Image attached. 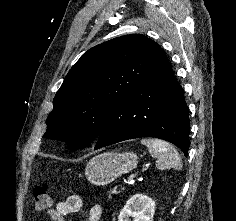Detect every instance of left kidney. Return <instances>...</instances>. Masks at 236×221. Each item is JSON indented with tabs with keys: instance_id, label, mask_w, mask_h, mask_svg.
I'll return each mask as SVG.
<instances>
[{
	"instance_id": "5707ae66",
	"label": "left kidney",
	"mask_w": 236,
	"mask_h": 221,
	"mask_svg": "<svg viewBox=\"0 0 236 221\" xmlns=\"http://www.w3.org/2000/svg\"><path fill=\"white\" fill-rule=\"evenodd\" d=\"M155 201L144 194L132 196L118 216V221H153Z\"/></svg>"
}]
</instances>
